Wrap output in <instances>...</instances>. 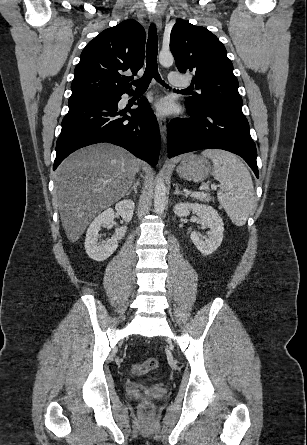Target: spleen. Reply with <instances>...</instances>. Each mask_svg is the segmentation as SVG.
<instances>
[{
	"instance_id": "3e777b00",
	"label": "spleen",
	"mask_w": 307,
	"mask_h": 445,
	"mask_svg": "<svg viewBox=\"0 0 307 445\" xmlns=\"http://www.w3.org/2000/svg\"><path fill=\"white\" fill-rule=\"evenodd\" d=\"M213 162V176L220 180L218 200L230 216L233 225L243 227L249 214L256 210L252 176L244 162L227 150L207 148L201 152Z\"/></svg>"
}]
</instances>
